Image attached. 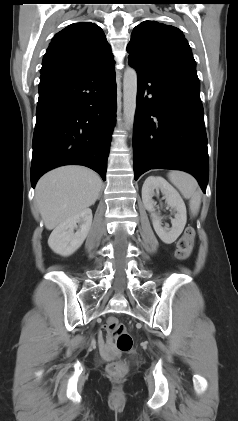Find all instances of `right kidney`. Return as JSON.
Segmentation results:
<instances>
[{
  "label": "right kidney",
  "mask_w": 238,
  "mask_h": 421,
  "mask_svg": "<svg viewBox=\"0 0 238 421\" xmlns=\"http://www.w3.org/2000/svg\"><path fill=\"white\" fill-rule=\"evenodd\" d=\"M79 224V228L77 226ZM92 224V211L87 208L59 224L48 239L49 247L61 256L72 255L84 242ZM78 228V229H77ZM74 229H77L74 232Z\"/></svg>",
  "instance_id": "right-kidney-1"
}]
</instances>
